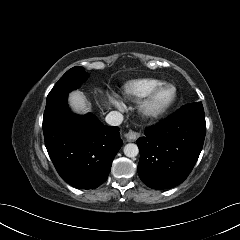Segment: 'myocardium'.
Here are the masks:
<instances>
[{
    "label": "myocardium",
    "instance_id": "obj_1",
    "mask_svg": "<svg viewBox=\"0 0 240 240\" xmlns=\"http://www.w3.org/2000/svg\"><path fill=\"white\" fill-rule=\"evenodd\" d=\"M171 91V96L163 103H157L158 96L166 91ZM177 89L171 84H162L154 88L140 104L141 113L148 118H158L164 115L175 103Z\"/></svg>",
    "mask_w": 240,
    "mask_h": 240
}]
</instances>
